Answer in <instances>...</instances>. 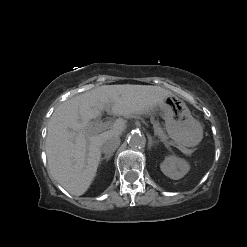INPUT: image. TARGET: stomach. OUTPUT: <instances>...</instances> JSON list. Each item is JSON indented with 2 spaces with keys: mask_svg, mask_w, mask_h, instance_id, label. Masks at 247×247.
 I'll list each match as a JSON object with an SVG mask.
<instances>
[{
  "mask_svg": "<svg viewBox=\"0 0 247 247\" xmlns=\"http://www.w3.org/2000/svg\"><path fill=\"white\" fill-rule=\"evenodd\" d=\"M169 137L178 145L197 146L203 138V127L186 104L174 95L166 97L159 105Z\"/></svg>",
  "mask_w": 247,
  "mask_h": 247,
  "instance_id": "1",
  "label": "stomach"
}]
</instances>
